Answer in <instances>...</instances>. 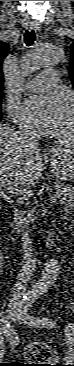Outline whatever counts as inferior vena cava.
Segmentation results:
<instances>
[{
    "mask_svg": "<svg viewBox=\"0 0 74 366\" xmlns=\"http://www.w3.org/2000/svg\"><path fill=\"white\" fill-rule=\"evenodd\" d=\"M20 139L22 143L32 148L38 147V136L35 132L30 130L20 131ZM23 189H17L16 194L23 193ZM14 223L19 228L21 234L23 263L21 273L19 274L18 282L13 289V296H21L26 290V283L29 281L35 264L32 241L30 239L29 220L25 217V212L19 208L14 209Z\"/></svg>",
    "mask_w": 74,
    "mask_h": 366,
    "instance_id": "602c4592",
    "label": "inferior vena cava"
}]
</instances>
